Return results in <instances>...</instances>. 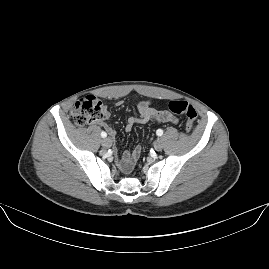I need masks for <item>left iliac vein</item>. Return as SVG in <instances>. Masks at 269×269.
<instances>
[{"label": "left iliac vein", "mask_w": 269, "mask_h": 269, "mask_svg": "<svg viewBox=\"0 0 269 269\" xmlns=\"http://www.w3.org/2000/svg\"><path fill=\"white\" fill-rule=\"evenodd\" d=\"M154 148L157 151H161L163 149V142L162 140L158 139L155 144H154Z\"/></svg>", "instance_id": "obj_1"}]
</instances>
